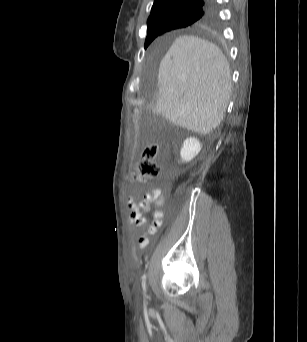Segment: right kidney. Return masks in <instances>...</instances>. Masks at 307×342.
Listing matches in <instances>:
<instances>
[{
    "mask_svg": "<svg viewBox=\"0 0 307 342\" xmlns=\"http://www.w3.org/2000/svg\"><path fill=\"white\" fill-rule=\"evenodd\" d=\"M201 144L197 138H187L184 140L183 146L180 150V156L182 162H191L199 152H201Z\"/></svg>",
    "mask_w": 307,
    "mask_h": 342,
    "instance_id": "obj_1",
    "label": "right kidney"
}]
</instances>
